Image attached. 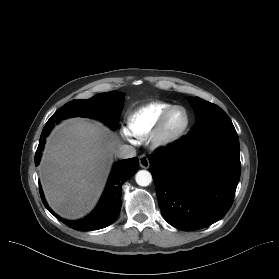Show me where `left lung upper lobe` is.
<instances>
[{"instance_id": "1", "label": "left lung upper lobe", "mask_w": 279, "mask_h": 279, "mask_svg": "<svg viewBox=\"0 0 279 279\" xmlns=\"http://www.w3.org/2000/svg\"><path fill=\"white\" fill-rule=\"evenodd\" d=\"M188 100L196 115V123L193 131L211 127H233L228 115L217 105L199 97L189 98Z\"/></svg>"}]
</instances>
